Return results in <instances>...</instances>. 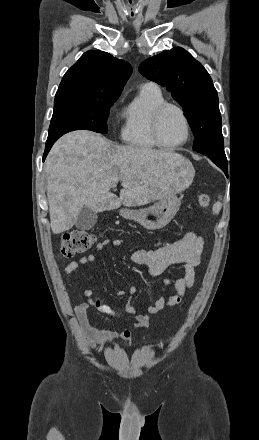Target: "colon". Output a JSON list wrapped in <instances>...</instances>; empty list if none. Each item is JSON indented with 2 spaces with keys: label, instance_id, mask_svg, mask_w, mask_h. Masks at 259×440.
<instances>
[{
  "label": "colon",
  "instance_id": "1",
  "mask_svg": "<svg viewBox=\"0 0 259 440\" xmlns=\"http://www.w3.org/2000/svg\"><path fill=\"white\" fill-rule=\"evenodd\" d=\"M198 204L207 208L210 204V197L206 193L198 196ZM96 236L84 230H73L63 235L60 247V254L63 257H73L90 249L96 242Z\"/></svg>",
  "mask_w": 259,
  "mask_h": 440
}]
</instances>
